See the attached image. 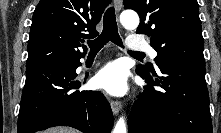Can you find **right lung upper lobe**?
<instances>
[{
	"instance_id": "cb5924a9",
	"label": "right lung upper lobe",
	"mask_w": 221,
	"mask_h": 133,
	"mask_svg": "<svg viewBox=\"0 0 221 133\" xmlns=\"http://www.w3.org/2000/svg\"><path fill=\"white\" fill-rule=\"evenodd\" d=\"M111 0H40L32 18L26 67L84 57V39L98 35L95 27ZM89 32V34H86ZM82 47L84 52H80Z\"/></svg>"
}]
</instances>
